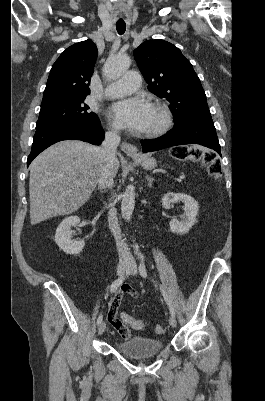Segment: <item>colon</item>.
<instances>
[{
	"instance_id": "1",
	"label": "colon",
	"mask_w": 265,
	"mask_h": 401,
	"mask_svg": "<svg viewBox=\"0 0 265 401\" xmlns=\"http://www.w3.org/2000/svg\"><path fill=\"white\" fill-rule=\"evenodd\" d=\"M171 155L180 161L190 159L201 163L207 169L209 175L214 179H218L221 175V165L215 154L211 152H204L195 147L183 146L174 148ZM108 321L124 339L130 338V331L125 324H128L134 329H142L145 326L144 321L134 319L125 312H121L119 317L112 311L108 312ZM155 332L161 334L164 332V329L161 325H156Z\"/></svg>"
}]
</instances>
